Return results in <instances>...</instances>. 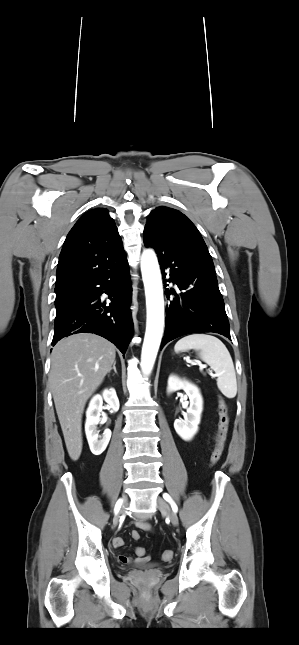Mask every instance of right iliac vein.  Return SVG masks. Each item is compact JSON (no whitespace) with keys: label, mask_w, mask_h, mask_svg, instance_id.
Here are the masks:
<instances>
[{"label":"right iliac vein","mask_w":299,"mask_h":645,"mask_svg":"<svg viewBox=\"0 0 299 645\" xmlns=\"http://www.w3.org/2000/svg\"><path fill=\"white\" fill-rule=\"evenodd\" d=\"M123 502H124V505H126V503H127V497H126V495H124V496H123ZM118 517H119V516H116V518H115V520H116V521L118 520Z\"/></svg>","instance_id":"63e3f726"}]
</instances>
